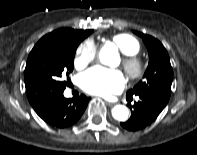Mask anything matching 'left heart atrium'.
<instances>
[{"label":"left heart atrium","instance_id":"1","mask_svg":"<svg viewBox=\"0 0 197 155\" xmlns=\"http://www.w3.org/2000/svg\"><path fill=\"white\" fill-rule=\"evenodd\" d=\"M80 85L90 94L108 96L120 92L124 88L125 80L117 70L96 66L81 75Z\"/></svg>","mask_w":197,"mask_h":155}]
</instances>
